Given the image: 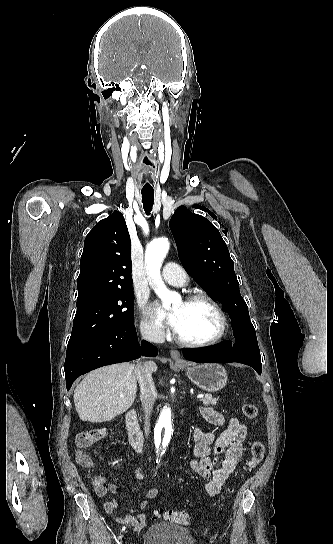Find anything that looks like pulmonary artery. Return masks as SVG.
<instances>
[{
  "label": "pulmonary artery",
  "instance_id": "e3ab8cb5",
  "mask_svg": "<svg viewBox=\"0 0 333 544\" xmlns=\"http://www.w3.org/2000/svg\"><path fill=\"white\" fill-rule=\"evenodd\" d=\"M163 279L173 286H184L188 281L185 270L174 262L167 263L162 271Z\"/></svg>",
  "mask_w": 333,
  "mask_h": 544
}]
</instances>
